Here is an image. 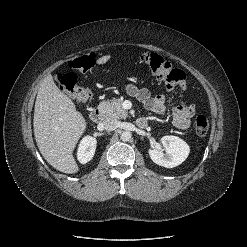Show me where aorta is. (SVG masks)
<instances>
[{"mask_svg": "<svg viewBox=\"0 0 247 247\" xmlns=\"http://www.w3.org/2000/svg\"><path fill=\"white\" fill-rule=\"evenodd\" d=\"M132 138V134L131 132L129 131H123L121 134H120V139L124 142H127V141H130Z\"/></svg>", "mask_w": 247, "mask_h": 247, "instance_id": "762f6f07", "label": "aorta"}]
</instances>
